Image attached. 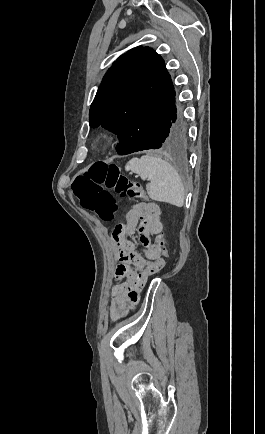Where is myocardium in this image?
Segmentation results:
<instances>
[{
  "instance_id": "f54148a6",
  "label": "myocardium",
  "mask_w": 265,
  "mask_h": 434,
  "mask_svg": "<svg viewBox=\"0 0 265 434\" xmlns=\"http://www.w3.org/2000/svg\"><path fill=\"white\" fill-rule=\"evenodd\" d=\"M107 142L104 138H95L90 142V148L94 152H100L105 149Z\"/></svg>"
}]
</instances>
